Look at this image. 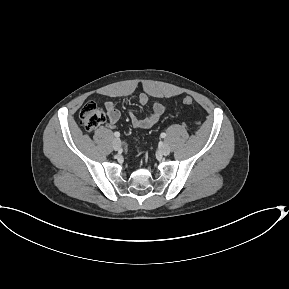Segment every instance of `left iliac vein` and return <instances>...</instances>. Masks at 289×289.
I'll return each mask as SVG.
<instances>
[{
	"label": "left iliac vein",
	"instance_id": "1",
	"mask_svg": "<svg viewBox=\"0 0 289 289\" xmlns=\"http://www.w3.org/2000/svg\"><path fill=\"white\" fill-rule=\"evenodd\" d=\"M160 151L163 155H168L171 151L170 147L168 144L163 143L160 147Z\"/></svg>",
	"mask_w": 289,
	"mask_h": 289
}]
</instances>
